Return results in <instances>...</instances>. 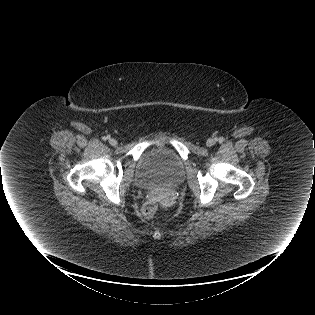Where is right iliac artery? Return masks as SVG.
I'll return each mask as SVG.
<instances>
[{
  "instance_id": "right-iliac-artery-1",
  "label": "right iliac artery",
  "mask_w": 315,
  "mask_h": 315,
  "mask_svg": "<svg viewBox=\"0 0 315 315\" xmlns=\"http://www.w3.org/2000/svg\"><path fill=\"white\" fill-rule=\"evenodd\" d=\"M110 137L109 136H104L102 139L104 140V141H106L107 139H109Z\"/></svg>"
}]
</instances>
